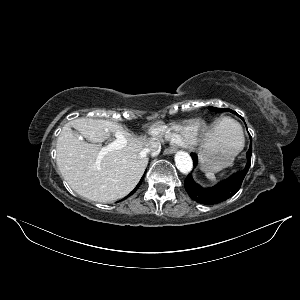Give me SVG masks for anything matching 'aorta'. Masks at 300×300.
Masks as SVG:
<instances>
[{
	"mask_svg": "<svg viewBox=\"0 0 300 300\" xmlns=\"http://www.w3.org/2000/svg\"><path fill=\"white\" fill-rule=\"evenodd\" d=\"M175 164L178 170L183 174H188L193 167V162L190 155L185 151H178L175 154Z\"/></svg>",
	"mask_w": 300,
	"mask_h": 300,
	"instance_id": "762f6f07",
	"label": "aorta"
}]
</instances>
